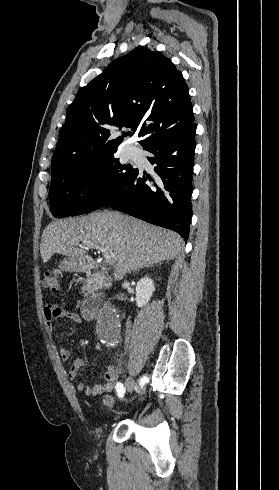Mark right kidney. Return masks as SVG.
<instances>
[{"mask_svg": "<svg viewBox=\"0 0 279 490\" xmlns=\"http://www.w3.org/2000/svg\"><path fill=\"white\" fill-rule=\"evenodd\" d=\"M153 292H155L154 280L149 278V276H145L140 282H137L135 298L136 306H138V308L146 306L151 296H153Z\"/></svg>", "mask_w": 279, "mask_h": 490, "instance_id": "right-kidney-1", "label": "right kidney"}]
</instances>
